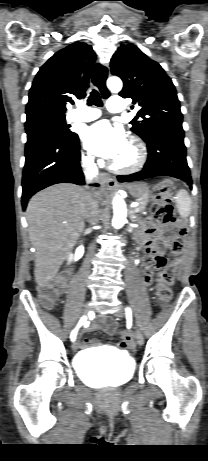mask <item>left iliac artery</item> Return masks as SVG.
Wrapping results in <instances>:
<instances>
[{
	"instance_id": "1",
	"label": "left iliac artery",
	"mask_w": 208,
	"mask_h": 461,
	"mask_svg": "<svg viewBox=\"0 0 208 461\" xmlns=\"http://www.w3.org/2000/svg\"><path fill=\"white\" fill-rule=\"evenodd\" d=\"M126 312H127V314H129V313H130V309H129V308H126Z\"/></svg>"
}]
</instances>
